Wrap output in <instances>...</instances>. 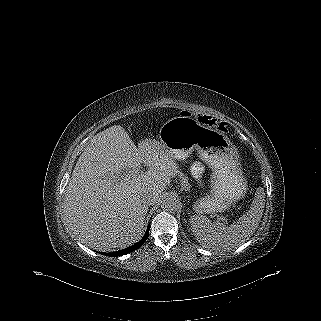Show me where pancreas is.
Segmentation results:
<instances>
[{
	"label": "pancreas",
	"mask_w": 321,
	"mask_h": 321,
	"mask_svg": "<svg viewBox=\"0 0 321 321\" xmlns=\"http://www.w3.org/2000/svg\"><path fill=\"white\" fill-rule=\"evenodd\" d=\"M182 178V180H181V184H182V186H188V182H187V178L186 177H181Z\"/></svg>",
	"instance_id": "pancreas-1"
}]
</instances>
